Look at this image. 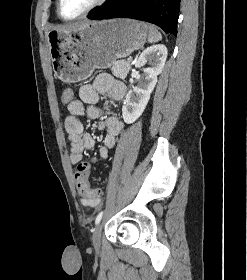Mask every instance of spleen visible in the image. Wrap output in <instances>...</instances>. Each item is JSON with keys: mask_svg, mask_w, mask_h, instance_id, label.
Segmentation results:
<instances>
[{"mask_svg": "<svg viewBox=\"0 0 247 280\" xmlns=\"http://www.w3.org/2000/svg\"><path fill=\"white\" fill-rule=\"evenodd\" d=\"M149 35H148V42L149 43H156L162 39L161 33L152 25L148 26Z\"/></svg>", "mask_w": 247, "mask_h": 280, "instance_id": "obj_1", "label": "spleen"}]
</instances>
